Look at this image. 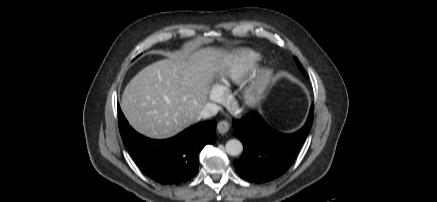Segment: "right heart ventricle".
<instances>
[{
	"mask_svg": "<svg viewBox=\"0 0 437 202\" xmlns=\"http://www.w3.org/2000/svg\"><path fill=\"white\" fill-rule=\"evenodd\" d=\"M261 56L254 50L243 49L238 51L227 69L218 79V86L227 90L243 81L260 63Z\"/></svg>",
	"mask_w": 437,
	"mask_h": 202,
	"instance_id": "right-heart-ventricle-1",
	"label": "right heart ventricle"
}]
</instances>
